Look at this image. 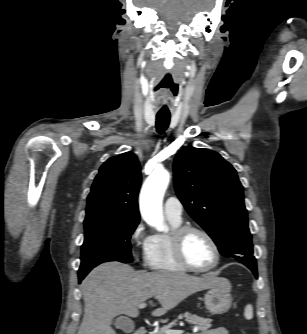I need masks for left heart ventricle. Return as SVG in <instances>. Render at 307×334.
<instances>
[{
  "label": "left heart ventricle",
  "mask_w": 307,
  "mask_h": 334,
  "mask_svg": "<svg viewBox=\"0 0 307 334\" xmlns=\"http://www.w3.org/2000/svg\"><path fill=\"white\" fill-rule=\"evenodd\" d=\"M185 253L191 264L197 267L210 266L215 259L214 249L200 233L193 232L185 241Z\"/></svg>",
  "instance_id": "obj_1"
}]
</instances>
